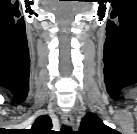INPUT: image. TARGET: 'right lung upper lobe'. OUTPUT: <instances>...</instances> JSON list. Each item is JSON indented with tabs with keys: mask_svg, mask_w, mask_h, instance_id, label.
I'll list each match as a JSON object with an SVG mask.
<instances>
[{
	"mask_svg": "<svg viewBox=\"0 0 137 134\" xmlns=\"http://www.w3.org/2000/svg\"><path fill=\"white\" fill-rule=\"evenodd\" d=\"M52 122L49 116L41 115L33 123L31 129L27 130L28 134H51Z\"/></svg>",
	"mask_w": 137,
	"mask_h": 134,
	"instance_id": "cb5924a9",
	"label": "right lung upper lobe"
}]
</instances>
